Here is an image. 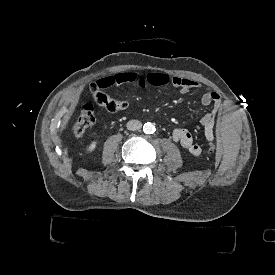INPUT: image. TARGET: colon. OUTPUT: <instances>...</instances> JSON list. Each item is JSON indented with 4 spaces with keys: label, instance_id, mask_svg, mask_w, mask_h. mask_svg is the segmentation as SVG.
<instances>
[{
    "label": "colon",
    "instance_id": "colon-1",
    "mask_svg": "<svg viewBox=\"0 0 275 275\" xmlns=\"http://www.w3.org/2000/svg\"><path fill=\"white\" fill-rule=\"evenodd\" d=\"M93 95H96L98 99L103 101V108L111 111L117 112L121 110H125L128 107V103L123 100H117L102 91H98L95 85L92 86ZM94 102L90 99L81 107V115L77 119V121L73 124V133L77 135L84 134L94 123L95 119ZM207 150L212 155L217 153L218 147L216 144L211 143L208 145Z\"/></svg>",
    "mask_w": 275,
    "mask_h": 275
}]
</instances>
